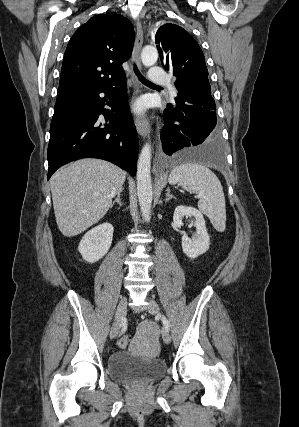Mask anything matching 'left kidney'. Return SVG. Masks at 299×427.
Returning a JSON list of instances; mask_svg holds the SVG:
<instances>
[{"mask_svg":"<svg viewBox=\"0 0 299 427\" xmlns=\"http://www.w3.org/2000/svg\"><path fill=\"white\" fill-rule=\"evenodd\" d=\"M193 217L196 233L192 238L186 234L182 236V250L189 258H197L208 251L210 238L206 230L205 220L202 213L191 206H178L173 214V222L176 227H181L184 217Z\"/></svg>","mask_w":299,"mask_h":427,"instance_id":"1","label":"left kidney"}]
</instances>
